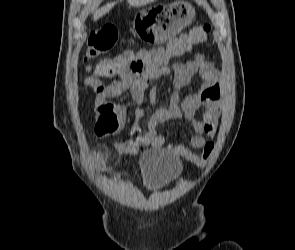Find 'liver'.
Instances as JSON below:
<instances>
[{"label":"liver","mask_w":295,"mask_h":250,"mask_svg":"<svg viewBox=\"0 0 295 250\" xmlns=\"http://www.w3.org/2000/svg\"><path fill=\"white\" fill-rule=\"evenodd\" d=\"M131 6L134 7H141L148 3H152L155 0H127ZM117 2H110L104 5L101 8L95 9L93 12V20H98L99 18L103 17L114 7Z\"/></svg>","instance_id":"obj_1"}]
</instances>
